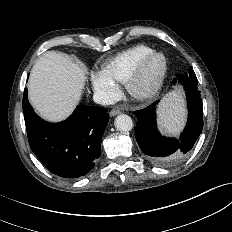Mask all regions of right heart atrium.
I'll list each match as a JSON object with an SVG mask.
<instances>
[{"label":"right heart atrium","instance_id":"d8ad5b80","mask_svg":"<svg viewBox=\"0 0 232 232\" xmlns=\"http://www.w3.org/2000/svg\"><path fill=\"white\" fill-rule=\"evenodd\" d=\"M90 82L98 97L104 102L114 99L118 94L117 84L102 71L92 72Z\"/></svg>","mask_w":232,"mask_h":232}]
</instances>
